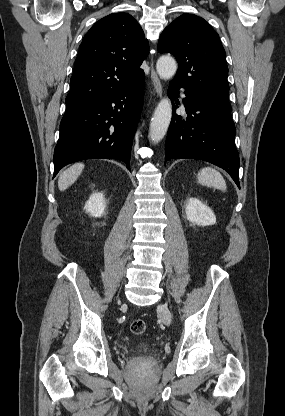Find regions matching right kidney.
Segmentation results:
<instances>
[{"label": "right kidney", "instance_id": "ca27d5eb", "mask_svg": "<svg viewBox=\"0 0 285 416\" xmlns=\"http://www.w3.org/2000/svg\"><path fill=\"white\" fill-rule=\"evenodd\" d=\"M105 198L101 192H96V194H92L90 196L88 202H86L84 206L85 212L90 214V216H94V218H100L102 214H104L105 210Z\"/></svg>", "mask_w": 285, "mask_h": 416}]
</instances>
